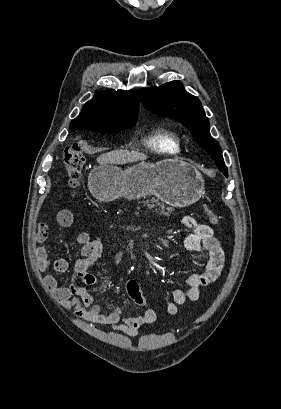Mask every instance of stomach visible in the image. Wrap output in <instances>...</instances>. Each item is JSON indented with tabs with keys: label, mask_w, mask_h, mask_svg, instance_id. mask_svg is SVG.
<instances>
[{
	"label": "stomach",
	"mask_w": 281,
	"mask_h": 409,
	"mask_svg": "<svg viewBox=\"0 0 281 409\" xmlns=\"http://www.w3.org/2000/svg\"><path fill=\"white\" fill-rule=\"evenodd\" d=\"M88 188L103 202L115 198H140L155 194L171 207H189L201 198L205 182L196 166L179 160L166 158L160 162H138L122 170L116 164L94 166L88 176Z\"/></svg>",
	"instance_id": "obj_1"
}]
</instances>
